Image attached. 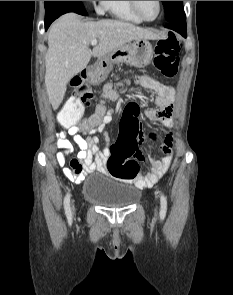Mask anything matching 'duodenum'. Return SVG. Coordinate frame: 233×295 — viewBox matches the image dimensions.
Wrapping results in <instances>:
<instances>
[{
    "label": "duodenum",
    "instance_id": "duodenum-1",
    "mask_svg": "<svg viewBox=\"0 0 233 295\" xmlns=\"http://www.w3.org/2000/svg\"><path fill=\"white\" fill-rule=\"evenodd\" d=\"M83 76H84V78L88 77V72L85 71Z\"/></svg>",
    "mask_w": 233,
    "mask_h": 295
}]
</instances>
